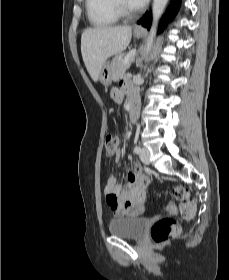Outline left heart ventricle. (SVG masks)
Masks as SVG:
<instances>
[{"mask_svg": "<svg viewBox=\"0 0 229 280\" xmlns=\"http://www.w3.org/2000/svg\"><path fill=\"white\" fill-rule=\"evenodd\" d=\"M123 1H124V3L126 4V6H128L129 8H134V7H132V6L129 4L128 0H123Z\"/></svg>", "mask_w": 229, "mask_h": 280, "instance_id": "b2bd125f", "label": "left heart ventricle"}]
</instances>
